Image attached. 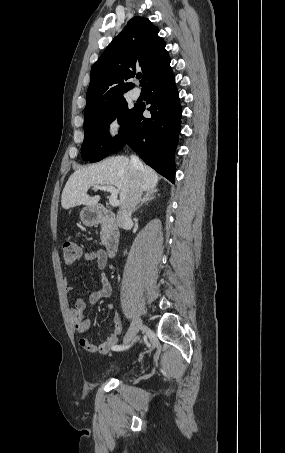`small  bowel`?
Instances as JSON below:
<instances>
[{
	"instance_id": "obj_1",
	"label": "small bowel",
	"mask_w": 285,
	"mask_h": 453,
	"mask_svg": "<svg viewBox=\"0 0 285 453\" xmlns=\"http://www.w3.org/2000/svg\"><path fill=\"white\" fill-rule=\"evenodd\" d=\"M83 258L86 261H96L100 270H103L106 267L108 260L105 251L101 249L85 252L83 254ZM99 280L101 286L99 289L94 290L89 294L88 303L84 300V298H77L71 309L73 327L75 331L81 335L86 334L90 329V319L85 316L84 312L88 308L93 307L99 300L109 297L112 292L111 284L103 273L100 275ZM72 289V286H67L68 292L72 291ZM107 309L109 312L113 313V329L106 336L105 340L101 344L97 345L85 337H81L79 339L80 346L90 353L104 355L107 354L113 347L117 346L118 335L122 331V321L113 304H108Z\"/></svg>"
}]
</instances>
